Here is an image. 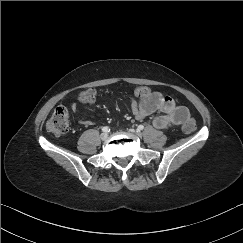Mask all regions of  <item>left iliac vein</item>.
<instances>
[{"instance_id": "4c4485c4", "label": "left iliac vein", "mask_w": 243, "mask_h": 243, "mask_svg": "<svg viewBox=\"0 0 243 243\" xmlns=\"http://www.w3.org/2000/svg\"><path fill=\"white\" fill-rule=\"evenodd\" d=\"M136 134H137L138 136H140V135H141V133H140V132H138V131L136 132Z\"/></svg>"}]
</instances>
